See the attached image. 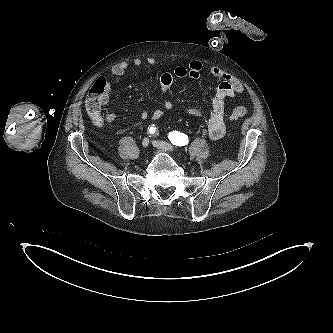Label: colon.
<instances>
[{
	"mask_svg": "<svg viewBox=\"0 0 333 333\" xmlns=\"http://www.w3.org/2000/svg\"><path fill=\"white\" fill-rule=\"evenodd\" d=\"M105 80L99 78L91 87L86 99V111L92 120L98 119L102 116L105 96ZM248 110L244 106L235 107L231 112V119L238 120L245 117Z\"/></svg>",
	"mask_w": 333,
	"mask_h": 333,
	"instance_id": "5ec220e1",
	"label": "colon"
}]
</instances>
